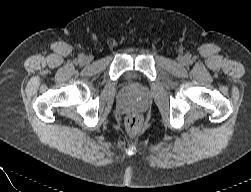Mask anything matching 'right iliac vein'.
<instances>
[{
    "label": "right iliac vein",
    "mask_w": 251,
    "mask_h": 192,
    "mask_svg": "<svg viewBox=\"0 0 251 192\" xmlns=\"http://www.w3.org/2000/svg\"><path fill=\"white\" fill-rule=\"evenodd\" d=\"M90 61H91L90 57H84L82 60V62L85 64L89 63Z\"/></svg>",
    "instance_id": "1"
}]
</instances>
